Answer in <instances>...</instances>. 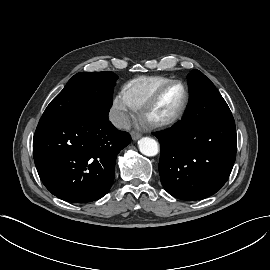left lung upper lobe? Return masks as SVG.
<instances>
[{"mask_svg":"<svg viewBox=\"0 0 270 270\" xmlns=\"http://www.w3.org/2000/svg\"><path fill=\"white\" fill-rule=\"evenodd\" d=\"M189 85V104L198 119L207 122L233 119L232 113L214 84L199 70L187 76Z\"/></svg>","mask_w":270,"mask_h":270,"instance_id":"obj_1","label":"left lung upper lobe"}]
</instances>
